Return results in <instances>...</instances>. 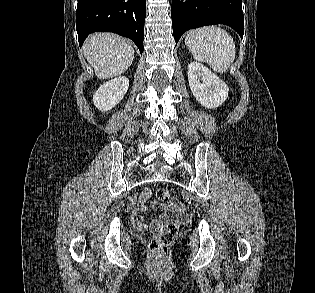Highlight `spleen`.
I'll use <instances>...</instances> for the list:
<instances>
[{"instance_id": "spleen-1", "label": "spleen", "mask_w": 315, "mask_h": 293, "mask_svg": "<svg viewBox=\"0 0 315 293\" xmlns=\"http://www.w3.org/2000/svg\"><path fill=\"white\" fill-rule=\"evenodd\" d=\"M185 44L194 59L206 62L215 72L223 73L235 59V42L227 31L207 26L190 31Z\"/></svg>"}]
</instances>
